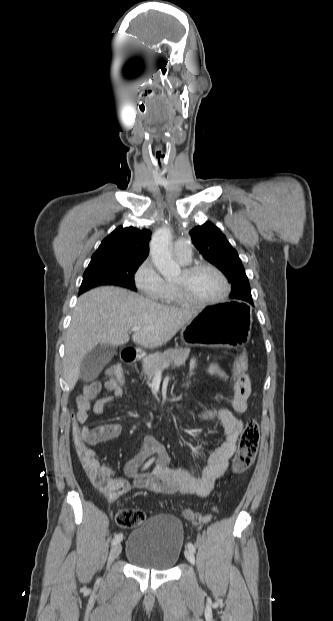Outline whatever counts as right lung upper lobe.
I'll list each match as a JSON object with an SVG mask.
<instances>
[{"label":"right lung upper lobe","mask_w":333,"mask_h":621,"mask_svg":"<svg viewBox=\"0 0 333 621\" xmlns=\"http://www.w3.org/2000/svg\"><path fill=\"white\" fill-rule=\"evenodd\" d=\"M151 232L135 227H118L100 244L91 262L106 260L144 261L149 254Z\"/></svg>","instance_id":"right-lung-upper-lobe-1"}]
</instances>
